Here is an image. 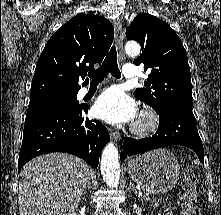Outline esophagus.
Segmentation results:
<instances>
[{
    "instance_id": "esophagus-1",
    "label": "esophagus",
    "mask_w": 221,
    "mask_h": 215,
    "mask_svg": "<svg viewBox=\"0 0 221 215\" xmlns=\"http://www.w3.org/2000/svg\"><path fill=\"white\" fill-rule=\"evenodd\" d=\"M115 36H116V47L118 50L119 61H123L124 53H123V32H122V23L119 18L114 19L113 21ZM111 138L114 141H119L121 139V135L118 131H111Z\"/></svg>"
}]
</instances>
